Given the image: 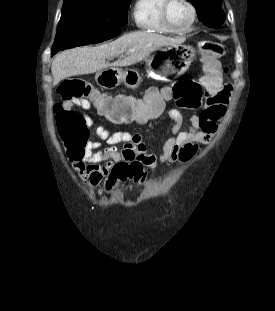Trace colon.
Wrapping results in <instances>:
<instances>
[{"label": "colon", "instance_id": "5ec220e1", "mask_svg": "<svg viewBox=\"0 0 275 311\" xmlns=\"http://www.w3.org/2000/svg\"><path fill=\"white\" fill-rule=\"evenodd\" d=\"M200 49L205 57V69L209 73L220 70L219 59L225 55L226 47L216 41H204ZM227 72V68H222ZM59 95L65 102L73 104L97 103L100 116L112 125H135L139 121L141 127L148 121H159L165 112L164 101H174L177 105H195L202 103L203 90L201 84L188 79L163 88L160 92H146L145 97H102L88 82L79 78L65 79L59 86ZM55 117L58 133L73 157L80 154L88 138V128L82 113L65 109L60 105L55 107ZM196 152V147L186 145L181 158L189 160ZM147 177L144 166L139 162L130 164L118 163L112 170L110 183L115 181H130L142 184Z\"/></svg>", "mask_w": 275, "mask_h": 311}]
</instances>
